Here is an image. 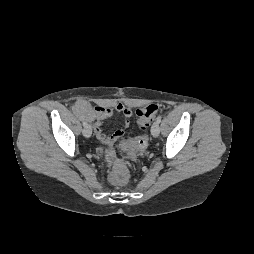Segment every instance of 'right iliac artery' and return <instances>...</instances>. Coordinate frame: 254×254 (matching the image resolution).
Here are the masks:
<instances>
[{"mask_svg": "<svg viewBox=\"0 0 254 254\" xmlns=\"http://www.w3.org/2000/svg\"><path fill=\"white\" fill-rule=\"evenodd\" d=\"M83 126H84V127L87 126V123H86V122H83Z\"/></svg>", "mask_w": 254, "mask_h": 254, "instance_id": "1", "label": "right iliac artery"}]
</instances>
